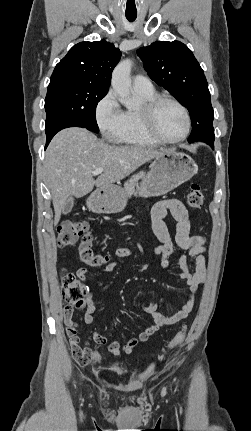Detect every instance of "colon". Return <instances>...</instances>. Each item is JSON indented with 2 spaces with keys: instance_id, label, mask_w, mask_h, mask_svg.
<instances>
[{
  "instance_id": "obj_1",
  "label": "colon",
  "mask_w": 251,
  "mask_h": 431,
  "mask_svg": "<svg viewBox=\"0 0 251 431\" xmlns=\"http://www.w3.org/2000/svg\"><path fill=\"white\" fill-rule=\"evenodd\" d=\"M204 202L203 193L197 184H192L186 199L187 205L192 209H199ZM57 243L59 247H70L77 244V257L79 261L91 267H100L107 264L109 258L98 254L93 250V237L89 231L88 224L84 221L67 219L58 227ZM62 295L67 303L66 309L82 308L86 295L85 286L68 271L61 273ZM185 327H183L164 348L163 353H169L178 348L185 338ZM95 365H101L103 356L99 351L93 352Z\"/></svg>"
}]
</instances>
